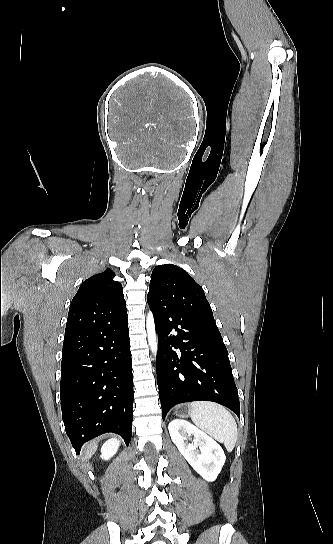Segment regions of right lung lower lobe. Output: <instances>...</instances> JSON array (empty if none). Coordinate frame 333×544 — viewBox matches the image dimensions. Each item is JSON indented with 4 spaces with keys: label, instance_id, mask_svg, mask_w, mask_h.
Returning <instances> with one entry per match:
<instances>
[{
    "label": "right lung lower lobe",
    "instance_id": "98d812e1",
    "mask_svg": "<svg viewBox=\"0 0 333 544\" xmlns=\"http://www.w3.org/2000/svg\"><path fill=\"white\" fill-rule=\"evenodd\" d=\"M60 392L65 430L77 454L107 432L129 444L134 392L127 313L65 335Z\"/></svg>",
    "mask_w": 333,
    "mask_h": 544
}]
</instances>
